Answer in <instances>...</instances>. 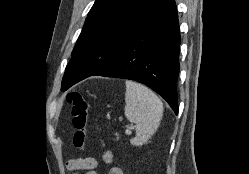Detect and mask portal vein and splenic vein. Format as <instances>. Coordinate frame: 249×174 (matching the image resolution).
I'll return each instance as SVG.
<instances>
[{"label":"portal vein and splenic vein","instance_id":"portal-vein-and-splenic-vein-1","mask_svg":"<svg viewBox=\"0 0 249 174\" xmlns=\"http://www.w3.org/2000/svg\"><path fill=\"white\" fill-rule=\"evenodd\" d=\"M133 128H134L133 125H131L130 128L126 129V134L130 135L131 134V129H133Z\"/></svg>","mask_w":249,"mask_h":174}]
</instances>
